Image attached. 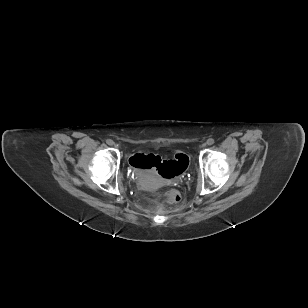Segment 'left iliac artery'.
Masks as SVG:
<instances>
[{
	"label": "left iliac artery",
	"mask_w": 308,
	"mask_h": 308,
	"mask_svg": "<svg viewBox=\"0 0 308 308\" xmlns=\"http://www.w3.org/2000/svg\"><path fill=\"white\" fill-rule=\"evenodd\" d=\"M207 144H208V145L214 144V139H212V138L208 139V140H207Z\"/></svg>",
	"instance_id": "44dca946"
}]
</instances>
